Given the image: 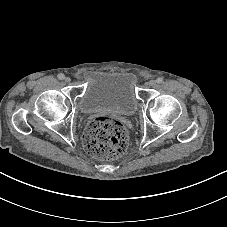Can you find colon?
Returning <instances> with one entry per match:
<instances>
[{
  "mask_svg": "<svg viewBox=\"0 0 227 227\" xmlns=\"http://www.w3.org/2000/svg\"><path fill=\"white\" fill-rule=\"evenodd\" d=\"M87 152L97 158L112 160L121 156L128 146L124 125L109 117L92 120L84 133Z\"/></svg>",
  "mask_w": 227,
  "mask_h": 227,
  "instance_id": "colon-1",
  "label": "colon"
}]
</instances>
